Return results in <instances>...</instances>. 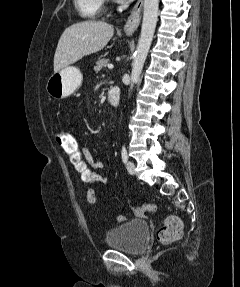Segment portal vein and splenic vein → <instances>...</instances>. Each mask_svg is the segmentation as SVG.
Here are the masks:
<instances>
[{
  "instance_id": "1",
  "label": "portal vein and splenic vein",
  "mask_w": 240,
  "mask_h": 287,
  "mask_svg": "<svg viewBox=\"0 0 240 287\" xmlns=\"http://www.w3.org/2000/svg\"><path fill=\"white\" fill-rule=\"evenodd\" d=\"M114 66L112 64H108V69H113Z\"/></svg>"
}]
</instances>
